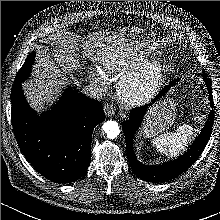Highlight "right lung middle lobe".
Here are the masks:
<instances>
[{
	"mask_svg": "<svg viewBox=\"0 0 220 220\" xmlns=\"http://www.w3.org/2000/svg\"><path fill=\"white\" fill-rule=\"evenodd\" d=\"M34 56L35 53L32 52L31 54L28 55L24 65L21 67L19 72L17 73L15 77V82H22L24 81L27 77H29L30 72H31V67L34 63Z\"/></svg>",
	"mask_w": 220,
	"mask_h": 220,
	"instance_id": "dd1d6c3e",
	"label": "right lung middle lobe"
}]
</instances>
